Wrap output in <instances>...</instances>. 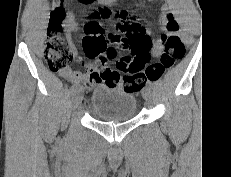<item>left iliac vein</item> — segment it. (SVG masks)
I'll use <instances>...</instances> for the list:
<instances>
[{
  "instance_id": "4c4485c4",
  "label": "left iliac vein",
  "mask_w": 231,
  "mask_h": 177,
  "mask_svg": "<svg viewBox=\"0 0 231 177\" xmlns=\"http://www.w3.org/2000/svg\"><path fill=\"white\" fill-rule=\"evenodd\" d=\"M143 98L146 100L147 103H151L153 100V90L152 87L147 86L143 91Z\"/></svg>"
}]
</instances>
